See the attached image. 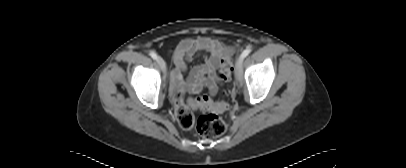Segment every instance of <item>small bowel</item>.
<instances>
[{"label": "small bowel", "mask_w": 406, "mask_h": 168, "mask_svg": "<svg viewBox=\"0 0 406 168\" xmlns=\"http://www.w3.org/2000/svg\"><path fill=\"white\" fill-rule=\"evenodd\" d=\"M232 52V47L210 38L183 40L172 53L175 65L172 72V94L184 88L183 73L187 70V61L198 54H205L206 61L191 70L188 83L194 93H200L204 87H207L209 95L215 96L218 90L217 69L221 60L230 56ZM201 98L210 100L207 96Z\"/></svg>", "instance_id": "small-bowel-1"}]
</instances>
